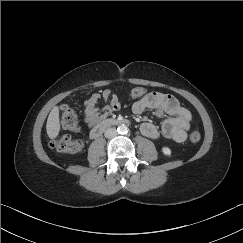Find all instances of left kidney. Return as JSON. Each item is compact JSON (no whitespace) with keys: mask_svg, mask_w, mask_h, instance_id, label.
Returning a JSON list of instances; mask_svg holds the SVG:
<instances>
[{"mask_svg":"<svg viewBox=\"0 0 243 243\" xmlns=\"http://www.w3.org/2000/svg\"><path fill=\"white\" fill-rule=\"evenodd\" d=\"M162 152H163V154L166 155V156H170V155H171V149L168 148V147H163V148H162Z\"/></svg>","mask_w":243,"mask_h":243,"instance_id":"left-kidney-1","label":"left kidney"}]
</instances>
